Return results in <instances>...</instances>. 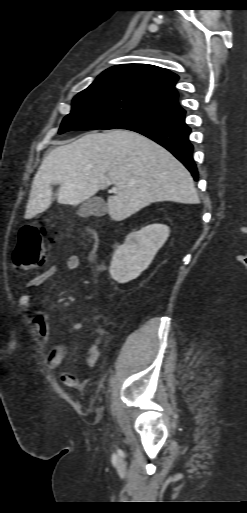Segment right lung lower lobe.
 I'll return each instance as SVG.
<instances>
[{
	"mask_svg": "<svg viewBox=\"0 0 247 513\" xmlns=\"http://www.w3.org/2000/svg\"><path fill=\"white\" fill-rule=\"evenodd\" d=\"M120 129L138 132L165 147L186 166L195 180L198 179L192 157L193 146L189 141L191 129L185 123L182 108L130 122Z\"/></svg>",
	"mask_w": 247,
	"mask_h": 513,
	"instance_id": "right-lung-lower-lobe-1",
	"label": "right lung lower lobe"
}]
</instances>
